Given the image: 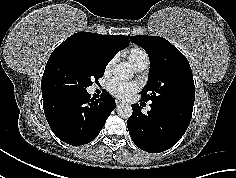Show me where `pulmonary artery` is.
Segmentation results:
<instances>
[{
	"instance_id": "pulmonary-artery-1",
	"label": "pulmonary artery",
	"mask_w": 236,
	"mask_h": 178,
	"mask_svg": "<svg viewBox=\"0 0 236 178\" xmlns=\"http://www.w3.org/2000/svg\"><path fill=\"white\" fill-rule=\"evenodd\" d=\"M143 69H145V68H140V69H137V70H143Z\"/></svg>"
}]
</instances>
